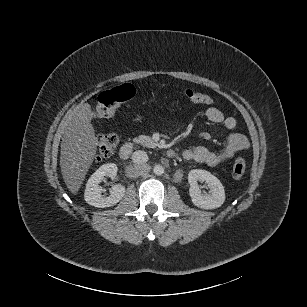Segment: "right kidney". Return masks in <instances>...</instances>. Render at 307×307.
Wrapping results in <instances>:
<instances>
[{"instance_id":"1","label":"right kidney","mask_w":307,"mask_h":307,"mask_svg":"<svg viewBox=\"0 0 307 307\" xmlns=\"http://www.w3.org/2000/svg\"><path fill=\"white\" fill-rule=\"evenodd\" d=\"M117 170L118 167L115 164H105L91 176L84 195V199L89 205L97 208H108L115 206L124 198L125 186L117 184L112 188L110 196H104L102 194L104 189L99 185L106 177L115 178Z\"/></svg>"}]
</instances>
